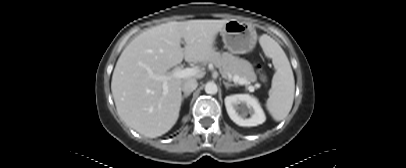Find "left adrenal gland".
Returning a JSON list of instances; mask_svg holds the SVG:
<instances>
[{
	"label": "left adrenal gland",
	"mask_w": 406,
	"mask_h": 168,
	"mask_svg": "<svg viewBox=\"0 0 406 168\" xmlns=\"http://www.w3.org/2000/svg\"><path fill=\"white\" fill-rule=\"evenodd\" d=\"M223 84H224L226 89H228L229 87H237L236 84H232V83L225 82V81H223Z\"/></svg>",
	"instance_id": "obj_1"
}]
</instances>
